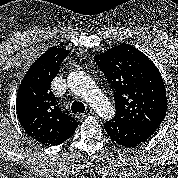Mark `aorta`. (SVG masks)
<instances>
[{"label":"aorta","instance_id":"obj_1","mask_svg":"<svg viewBox=\"0 0 178 178\" xmlns=\"http://www.w3.org/2000/svg\"><path fill=\"white\" fill-rule=\"evenodd\" d=\"M68 86L75 95L85 99L100 117L110 119L114 116L113 105L85 72L75 71L70 73Z\"/></svg>","mask_w":178,"mask_h":178}]
</instances>
